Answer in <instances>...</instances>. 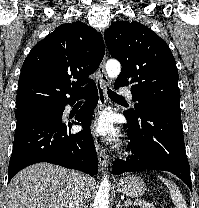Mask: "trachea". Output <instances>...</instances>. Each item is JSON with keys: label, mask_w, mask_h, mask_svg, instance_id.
Returning <instances> with one entry per match:
<instances>
[{"label": "trachea", "mask_w": 199, "mask_h": 208, "mask_svg": "<svg viewBox=\"0 0 199 208\" xmlns=\"http://www.w3.org/2000/svg\"><path fill=\"white\" fill-rule=\"evenodd\" d=\"M107 93H108V96L115 101H125V99L123 97L117 95L115 92H113L110 89H108Z\"/></svg>", "instance_id": "3493384b"}]
</instances>
